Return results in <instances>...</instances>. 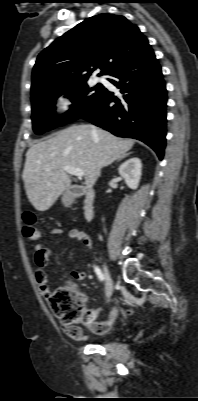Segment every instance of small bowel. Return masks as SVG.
<instances>
[{
  "mask_svg": "<svg viewBox=\"0 0 198 401\" xmlns=\"http://www.w3.org/2000/svg\"><path fill=\"white\" fill-rule=\"evenodd\" d=\"M51 235L56 236L63 233V230L60 228H54L51 230ZM68 236L70 239L81 242L87 249H91L92 241L90 236L84 230L73 228L69 230ZM51 257L50 250L44 245H37L35 247L34 254V265H35V279L36 282L44 295H47L50 292V287L48 284V279L45 274V269L49 263ZM87 273L85 271L75 272V276L79 279L85 278ZM82 299L85 304L88 303L89 299L86 294H82ZM119 313V307L115 304L108 316V319L105 321H95V323L90 327L91 331L95 334L101 335L106 333L110 326L115 321L117 315ZM95 314V313H94ZM83 334L79 331L78 336L75 338H82Z\"/></svg>",
  "mask_w": 198,
  "mask_h": 401,
  "instance_id": "c3829d8e",
  "label": "small bowel"
}]
</instances>
